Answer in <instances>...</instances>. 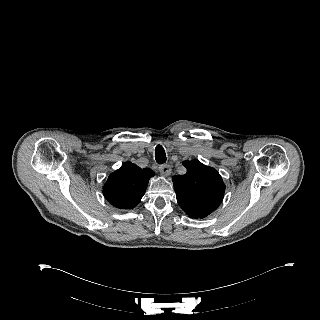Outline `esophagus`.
Returning a JSON list of instances; mask_svg holds the SVG:
<instances>
[{"label":"esophagus","mask_w":320,"mask_h":320,"mask_svg":"<svg viewBox=\"0 0 320 320\" xmlns=\"http://www.w3.org/2000/svg\"><path fill=\"white\" fill-rule=\"evenodd\" d=\"M159 171L164 176H169L171 174V167L168 164H163L159 166Z\"/></svg>","instance_id":"1"}]
</instances>
